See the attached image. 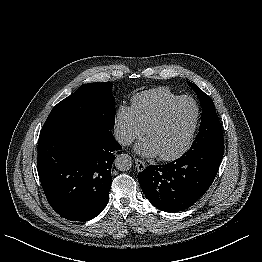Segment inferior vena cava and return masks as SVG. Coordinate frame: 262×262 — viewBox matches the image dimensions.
Returning a JSON list of instances; mask_svg holds the SVG:
<instances>
[{"label":"inferior vena cava","mask_w":262,"mask_h":262,"mask_svg":"<svg viewBox=\"0 0 262 262\" xmlns=\"http://www.w3.org/2000/svg\"><path fill=\"white\" fill-rule=\"evenodd\" d=\"M115 138L117 140L118 143H120L121 145H130L133 142V139L131 136H129L126 133H121V132H117L115 134Z\"/></svg>","instance_id":"inferior-vena-cava-1"}]
</instances>
